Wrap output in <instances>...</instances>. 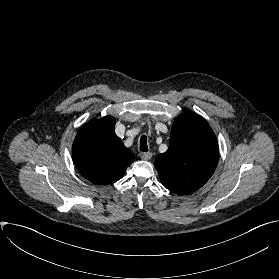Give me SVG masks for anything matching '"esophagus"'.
<instances>
[{"mask_svg": "<svg viewBox=\"0 0 279 279\" xmlns=\"http://www.w3.org/2000/svg\"><path fill=\"white\" fill-rule=\"evenodd\" d=\"M151 157H152V153H150V152H147V153L142 152V153H140V158L143 159V160H150Z\"/></svg>", "mask_w": 279, "mask_h": 279, "instance_id": "esophagus-1", "label": "esophagus"}]
</instances>
